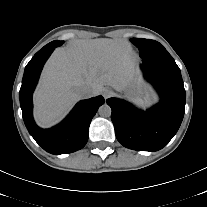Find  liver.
I'll return each instance as SVG.
<instances>
[{
	"mask_svg": "<svg viewBox=\"0 0 207 207\" xmlns=\"http://www.w3.org/2000/svg\"><path fill=\"white\" fill-rule=\"evenodd\" d=\"M137 56L122 39L76 40L57 48L46 63L34 94V115L42 127L59 120L82 97L80 86L92 89V96L104 86L116 91L128 88L136 73Z\"/></svg>",
	"mask_w": 207,
	"mask_h": 207,
	"instance_id": "6515ba94",
	"label": "liver"
}]
</instances>
